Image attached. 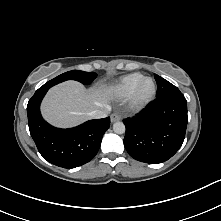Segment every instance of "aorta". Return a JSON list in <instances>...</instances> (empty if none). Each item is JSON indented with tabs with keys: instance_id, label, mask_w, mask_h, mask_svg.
<instances>
[{
	"instance_id": "762f6f07",
	"label": "aorta",
	"mask_w": 221,
	"mask_h": 221,
	"mask_svg": "<svg viewBox=\"0 0 221 221\" xmlns=\"http://www.w3.org/2000/svg\"><path fill=\"white\" fill-rule=\"evenodd\" d=\"M113 131L117 134L125 133V125L123 122H115L113 124Z\"/></svg>"
}]
</instances>
